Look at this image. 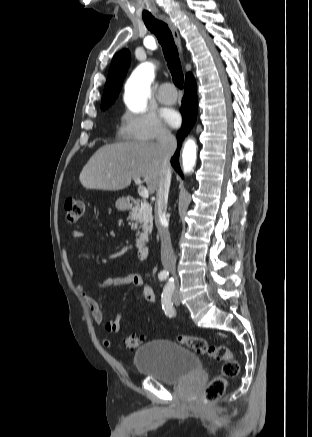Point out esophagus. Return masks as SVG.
I'll use <instances>...</instances> for the list:
<instances>
[{
  "mask_svg": "<svg viewBox=\"0 0 312 437\" xmlns=\"http://www.w3.org/2000/svg\"><path fill=\"white\" fill-rule=\"evenodd\" d=\"M160 18L168 25L169 29L172 32L175 43L181 51V40H180L179 33H178L177 28L175 27L174 23L172 22V20L168 16H166L164 14H161Z\"/></svg>",
  "mask_w": 312,
  "mask_h": 437,
  "instance_id": "34e87169",
  "label": "esophagus"
}]
</instances>
